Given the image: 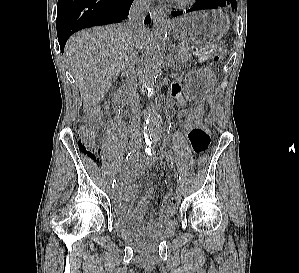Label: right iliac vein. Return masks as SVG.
<instances>
[{
    "label": "right iliac vein",
    "instance_id": "1",
    "mask_svg": "<svg viewBox=\"0 0 299 273\" xmlns=\"http://www.w3.org/2000/svg\"><path fill=\"white\" fill-rule=\"evenodd\" d=\"M137 147H138V143H137V142H135V141H131V142L129 143V149H130V150H134V149L137 148ZM110 193L113 194V190H111Z\"/></svg>",
    "mask_w": 299,
    "mask_h": 273
}]
</instances>
